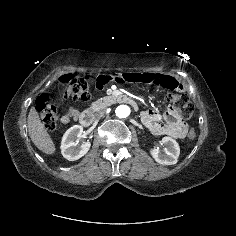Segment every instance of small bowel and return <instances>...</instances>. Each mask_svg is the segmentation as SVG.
Returning <instances> with one entry per match:
<instances>
[{"label": "small bowel", "instance_id": "1", "mask_svg": "<svg viewBox=\"0 0 236 236\" xmlns=\"http://www.w3.org/2000/svg\"><path fill=\"white\" fill-rule=\"evenodd\" d=\"M115 79L120 82L145 83L168 89H183L182 84L175 78L159 72H114L113 74L98 76L95 85L98 89L105 90L109 87L110 81ZM77 115L78 112L75 109H69L62 117V122L67 123L71 118H76ZM141 119L154 135H168L183 139L188 132V126L180 119L178 112L171 107L167 108L163 115L152 109L143 111Z\"/></svg>", "mask_w": 236, "mask_h": 236}]
</instances>
